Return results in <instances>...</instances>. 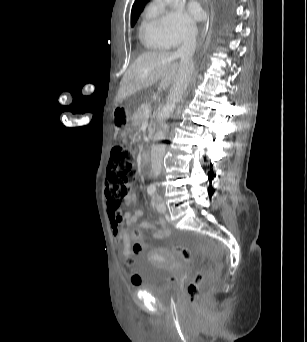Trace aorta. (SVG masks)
I'll list each match as a JSON object with an SVG mask.
<instances>
[{"label":"aorta","instance_id":"aorta-1","mask_svg":"<svg viewBox=\"0 0 307 342\" xmlns=\"http://www.w3.org/2000/svg\"><path fill=\"white\" fill-rule=\"evenodd\" d=\"M165 4H169V6H173L174 2H177V0H164Z\"/></svg>","mask_w":307,"mask_h":342}]
</instances>
